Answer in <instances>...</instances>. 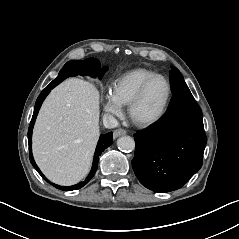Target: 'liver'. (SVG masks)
<instances>
[{
	"label": "liver",
	"mask_w": 239,
	"mask_h": 239,
	"mask_svg": "<svg viewBox=\"0 0 239 239\" xmlns=\"http://www.w3.org/2000/svg\"><path fill=\"white\" fill-rule=\"evenodd\" d=\"M98 92L69 79L45 100L33 132V154L53 182L71 185L88 172L99 136Z\"/></svg>",
	"instance_id": "obj_1"
}]
</instances>
